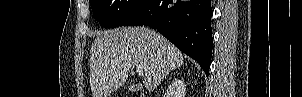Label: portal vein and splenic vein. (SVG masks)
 Here are the masks:
<instances>
[{
	"label": "portal vein and splenic vein",
	"instance_id": "18ae733b",
	"mask_svg": "<svg viewBox=\"0 0 302 97\" xmlns=\"http://www.w3.org/2000/svg\"><path fill=\"white\" fill-rule=\"evenodd\" d=\"M136 71L138 73H143L144 72V66L141 64L136 65Z\"/></svg>",
	"mask_w": 302,
	"mask_h": 97
}]
</instances>
